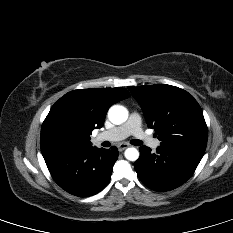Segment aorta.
<instances>
[{"label":"aorta","mask_w":233,"mask_h":233,"mask_svg":"<svg viewBox=\"0 0 233 233\" xmlns=\"http://www.w3.org/2000/svg\"><path fill=\"white\" fill-rule=\"evenodd\" d=\"M108 117L113 124H122L128 119V110L124 106L113 105L108 111ZM124 154L130 161H136L139 158V152L134 147L127 148Z\"/></svg>","instance_id":"obj_1"}]
</instances>
